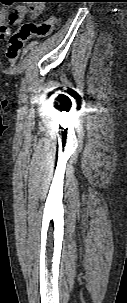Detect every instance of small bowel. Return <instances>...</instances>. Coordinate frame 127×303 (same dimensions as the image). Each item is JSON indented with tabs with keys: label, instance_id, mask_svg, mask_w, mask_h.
<instances>
[{
	"label": "small bowel",
	"instance_id": "c3829d8e",
	"mask_svg": "<svg viewBox=\"0 0 127 303\" xmlns=\"http://www.w3.org/2000/svg\"><path fill=\"white\" fill-rule=\"evenodd\" d=\"M28 2L16 7L13 11L0 10V39H6L10 34V27L16 26L22 22L26 15L31 19H36L40 16L43 5L39 0H27Z\"/></svg>",
	"mask_w": 127,
	"mask_h": 303
}]
</instances>
